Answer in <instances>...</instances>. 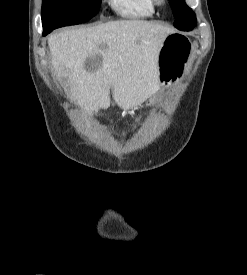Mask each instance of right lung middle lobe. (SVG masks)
<instances>
[{
    "label": "right lung middle lobe",
    "mask_w": 247,
    "mask_h": 275,
    "mask_svg": "<svg viewBox=\"0 0 247 275\" xmlns=\"http://www.w3.org/2000/svg\"><path fill=\"white\" fill-rule=\"evenodd\" d=\"M101 0H43L42 23L45 31L86 22L94 17Z\"/></svg>",
    "instance_id": "dd1d6c3e"
}]
</instances>
